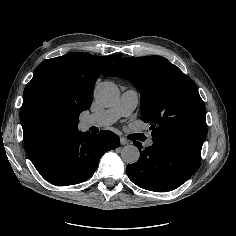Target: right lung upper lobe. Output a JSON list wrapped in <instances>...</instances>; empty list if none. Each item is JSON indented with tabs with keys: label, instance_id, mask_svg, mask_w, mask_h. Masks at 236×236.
I'll use <instances>...</instances> for the list:
<instances>
[{
	"label": "right lung upper lobe",
	"instance_id": "obj_1",
	"mask_svg": "<svg viewBox=\"0 0 236 236\" xmlns=\"http://www.w3.org/2000/svg\"><path fill=\"white\" fill-rule=\"evenodd\" d=\"M120 57L69 53L44 60L38 65L33 78L25 87L20 111L25 150L33 164L38 163L58 141L78 132L79 114L91 106L96 79L110 63ZM38 93L56 95L70 110V125L55 137L44 138L35 134L26 122L25 108Z\"/></svg>",
	"mask_w": 236,
	"mask_h": 236
}]
</instances>
